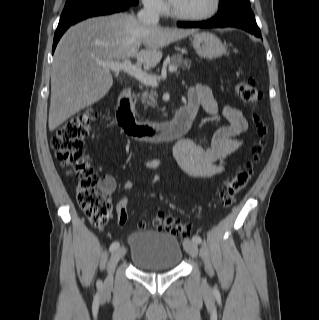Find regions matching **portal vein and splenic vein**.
<instances>
[{"instance_id": "portal-vein-and-splenic-vein-1", "label": "portal vein and splenic vein", "mask_w": 319, "mask_h": 320, "mask_svg": "<svg viewBox=\"0 0 319 320\" xmlns=\"http://www.w3.org/2000/svg\"><path fill=\"white\" fill-rule=\"evenodd\" d=\"M100 64L102 67L111 69L115 73L124 71L146 85H150L152 87H156L158 85V81L154 77L143 71L141 67L133 65L129 59H125L123 62H101ZM168 70L169 72H176L177 67L169 66Z\"/></svg>"}]
</instances>
